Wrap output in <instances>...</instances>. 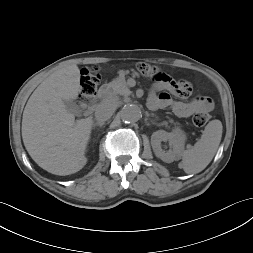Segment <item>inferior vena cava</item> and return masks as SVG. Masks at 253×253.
<instances>
[{"instance_id": "obj_1", "label": "inferior vena cava", "mask_w": 253, "mask_h": 253, "mask_svg": "<svg viewBox=\"0 0 253 253\" xmlns=\"http://www.w3.org/2000/svg\"><path fill=\"white\" fill-rule=\"evenodd\" d=\"M115 112V104L110 101L101 102L95 111V118L98 122H105Z\"/></svg>"}]
</instances>
